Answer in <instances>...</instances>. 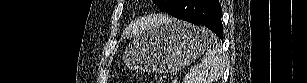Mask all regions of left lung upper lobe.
Masks as SVG:
<instances>
[{"instance_id": "left-lung-upper-lobe-1", "label": "left lung upper lobe", "mask_w": 307, "mask_h": 83, "mask_svg": "<svg viewBox=\"0 0 307 83\" xmlns=\"http://www.w3.org/2000/svg\"><path fill=\"white\" fill-rule=\"evenodd\" d=\"M153 2L155 4L158 5V7L163 11L166 12L170 6L172 5V3L174 2V0H153Z\"/></svg>"}]
</instances>
